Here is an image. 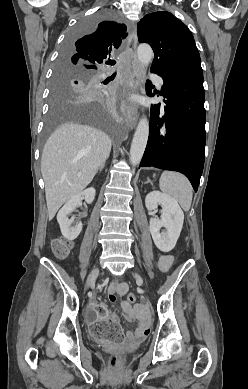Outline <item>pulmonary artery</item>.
<instances>
[{"label":"pulmonary artery","mask_w":248,"mask_h":389,"mask_svg":"<svg viewBox=\"0 0 248 389\" xmlns=\"http://www.w3.org/2000/svg\"><path fill=\"white\" fill-rule=\"evenodd\" d=\"M154 82L157 84V86L160 88L162 86V78L160 76H155L153 78Z\"/></svg>","instance_id":"pulmonary-artery-1"}]
</instances>
